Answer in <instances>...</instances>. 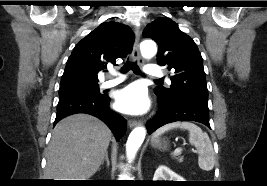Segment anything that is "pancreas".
I'll use <instances>...</instances> for the list:
<instances>
[{"mask_svg":"<svg viewBox=\"0 0 267 186\" xmlns=\"http://www.w3.org/2000/svg\"><path fill=\"white\" fill-rule=\"evenodd\" d=\"M178 160H179L180 162H182L183 158H182V157H180Z\"/></svg>","mask_w":267,"mask_h":186,"instance_id":"pancreas-1","label":"pancreas"}]
</instances>
